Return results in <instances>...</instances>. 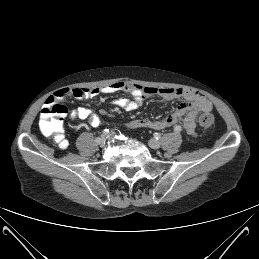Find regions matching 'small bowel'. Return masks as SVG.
Returning <instances> with one entry per match:
<instances>
[{
    "label": "small bowel",
    "mask_w": 259,
    "mask_h": 259,
    "mask_svg": "<svg viewBox=\"0 0 259 259\" xmlns=\"http://www.w3.org/2000/svg\"><path fill=\"white\" fill-rule=\"evenodd\" d=\"M118 91H127L132 99L119 98L113 101V105L125 111L138 109L142 103L149 97L159 96L164 100H173L182 98L184 100L175 112L167 115L161 120H150L147 118H138L131 120L127 127L130 129L150 128L154 130H163L174 126L180 119L183 130L190 136L196 135V121L200 113H209L212 110L211 103L200 92L184 88H157L144 87L128 81L115 82L102 88H64L60 89L50 96L45 105L50 100H60L68 96L77 99H91L102 94H113ZM69 118L71 120H87L93 127L101 124L100 115L89 108L78 107L73 109Z\"/></svg>",
    "instance_id": "1"
}]
</instances>
